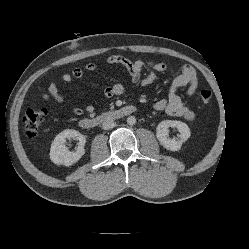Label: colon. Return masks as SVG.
I'll use <instances>...</instances> for the list:
<instances>
[{
  "label": "colon",
  "mask_w": 249,
  "mask_h": 249,
  "mask_svg": "<svg viewBox=\"0 0 249 249\" xmlns=\"http://www.w3.org/2000/svg\"><path fill=\"white\" fill-rule=\"evenodd\" d=\"M212 93L208 89H203L200 92V98L203 102H209L211 100ZM47 115V110L45 108H33L27 110L24 115V129L28 137H36L42 123Z\"/></svg>",
  "instance_id": "colon-1"
}]
</instances>
